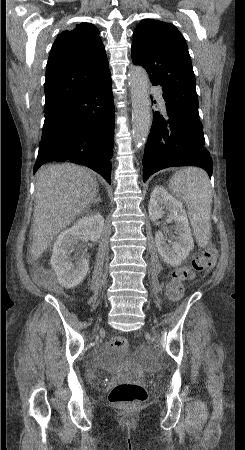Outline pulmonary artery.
<instances>
[{"instance_id":"1","label":"pulmonary artery","mask_w":245,"mask_h":450,"mask_svg":"<svg viewBox=\"0 0 245 450\" xmlns=\"http://www.w3.org/2000/svg\"><path fill=\"white\" fill-rule=\"evenodd\" d=\"M157 97H158V99L160 101V104L164 106L165 105V101L162 98V93L161 92H157Z\"/></svg>"}]
</instances>
